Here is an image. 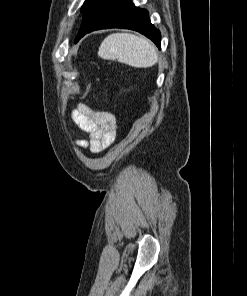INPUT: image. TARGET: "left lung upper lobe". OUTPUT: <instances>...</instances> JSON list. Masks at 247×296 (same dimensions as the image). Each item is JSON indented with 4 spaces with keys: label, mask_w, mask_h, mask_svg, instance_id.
<instances>
[{
    "label": "left lung upper lobe",
    "mask_w": 247,
    "mask_h": 296,
    "mask_svg": "<svg viewBox=\"0 0 247 296\" xmlns=\"http://www.w3.org/2000/svg\"><path fill=\"white\" fill-rule=\"evenodd\" d=\"M99 0H86L81 8V13L84 15L92 6H94Z\"/></svg>",
    "instance_id": "left-lung-upper-lobe-1"
}]
</instances>
